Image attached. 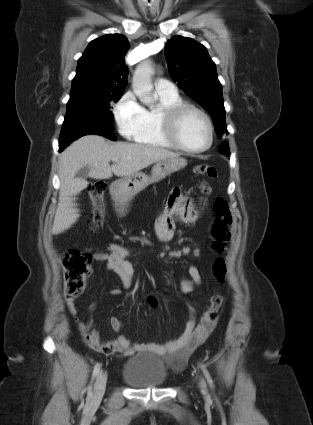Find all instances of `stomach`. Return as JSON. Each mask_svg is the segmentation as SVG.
<instances>
[{"mask_svg":"<svg viewBox=\"0 0 313 425\" xmlns=\"http://www.w3.org/2000/svg\"><path fill=\"white\" fill-rule=\"evenodd\" d=\"M187 160L181 157L167 158L156 162L151 170V175L137 172L131 176L116 180L111 187V192L117 201H130L136 194L148 185L157 183L168 175L183 169Z\"/></svg>","mask_w":313,"mask_h":425,"instance_id":"0dacf381","label":"stomach"}]
</instances>
